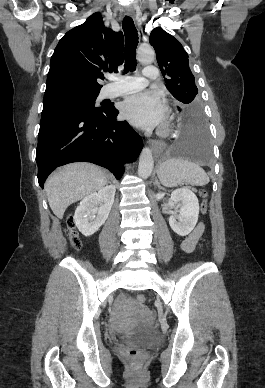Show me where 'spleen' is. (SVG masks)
<instances>
[{
  "mask_svg": "<svg viewBox=\"0 0 265 388\" xmlns=\"http://www.w3.org/2000/svg\"><path fill=\"white\" fill-rule=\"evenodd\" d=\"M157 176L166 188H175L178 184H191V186H206L209 182L204 170L186 158H170L160 164Z\"/></svg>",
  "mask_w": 265,
  "mask_h": 388,
  "instance_id": "obj_1",
  "label": "spleen"
}]
</instances>
